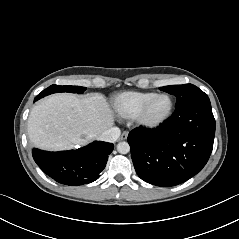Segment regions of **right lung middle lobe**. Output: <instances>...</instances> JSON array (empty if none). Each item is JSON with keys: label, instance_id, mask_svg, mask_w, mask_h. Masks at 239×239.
Masks as SVG:
<instances>
[{"label": "right lung middle lobe", "instance_id": "dd1d6c3e", "mask_svg": "<svg viewBox=\"0 0 239 239\" xmlns=\"http://www.w3.org/2000/svg\"><path fill=\"white\" fill-rule=\"evenodd\" d=\"M86 90V87L80 86H59L51 85L44 91H42L37 97L42 98L52 93L56 92H72V93H83Z\"/></svg>", "mask_w": 239, "mask_h": 239}]
</instances>
